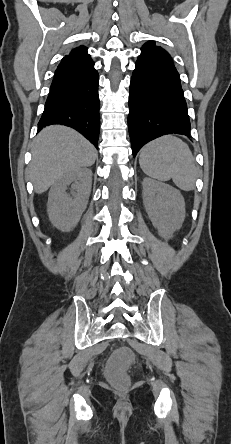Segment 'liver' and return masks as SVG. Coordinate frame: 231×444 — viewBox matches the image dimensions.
Returning a JSON list of instances; mask_svg holds the SVG:
<instances>
[{"label":"liver","mask_w":231,"mask_h":444,"mask_svg":"<svg viewBox=\"0 0 231 444\" xmlns=\"http://www.w3.org/2000/svg\"><path fill=\"white\" fill-rule=\"evenodd\" d=\"M95 147L75 130L59 125L44 128L32 148L30 180L37 194L49 189L63 175L94 164Z\"/></svg>","instance_id":"1"}]
</instances>
